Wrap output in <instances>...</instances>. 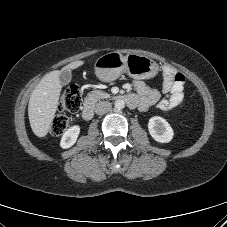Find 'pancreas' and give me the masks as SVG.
Listing matches in <instances>:
<instances>
[{
	"mask_svg": "<svg viewBox=\"0 0 227 227\" xmlns=\"http://www.w3.org/2000/svg\"><path fill=\"white\" fill-rule=\"evenodd\" d=\"M108 97H110V95L102 90L92 91L87 94V100L91 102H97L100 99Z\"/></svg>",
	"mask_w": 227,
	"mask_h": 227,
	"instance_id": "obj_1",
	"label": "pancreas"
}]
</instances>
